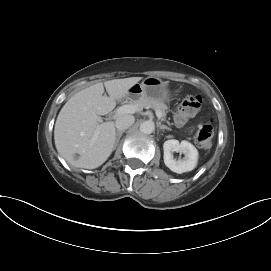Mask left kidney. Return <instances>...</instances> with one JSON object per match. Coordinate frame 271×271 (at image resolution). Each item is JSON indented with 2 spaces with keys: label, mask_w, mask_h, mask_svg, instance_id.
I'll return each instance as SVG.
<instances>
[{
  "label": "left kidney",
  "mask_w": 271,
  "mask_h": 271,
  "mask_svg": "<svg viewBox=\"0 0 271 271\" xmlns=\"http://www.w3.org/2000/svg\"><path fill=\"white\" fill-rule=\"evenodd\" d=\"M164 149V163L165 165L175 173H183L192 171L198 161L197 149L188 141L167 140L163 144ZM180 152L185 155L182 159H174L173 153Z\"/></svg>",
  "instance_id": "1"
}]
</instances>
